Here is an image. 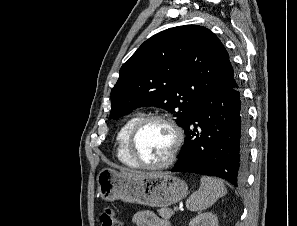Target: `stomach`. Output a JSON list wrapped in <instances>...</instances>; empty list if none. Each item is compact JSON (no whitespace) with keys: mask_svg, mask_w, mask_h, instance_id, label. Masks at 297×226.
<instances>
[{"mask_svg":"<svg viewBox=\"0 0 297 226\" xmlns=\"http://www.w3.org/2000/svg\"><path fill=\"white\" fill-rule=\"evenodd\" d=\"M97 185L98 193L105 201L120 199L152 207H166L188 195L186 182L167 173L129 178L106 168L98 174Z\"/></svg>","mask_w":297,"mask_h":226,"instance_id":"1","label":"stomach"}]
</instances>
